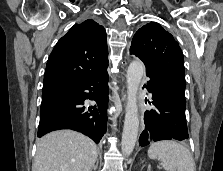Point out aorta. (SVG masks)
I'll return each instance as SVG.
<instances>
[{"label": "aorta", "instance_id": "1", "mask_svg": "<svg viewBox=\"0 0 223 171\" xmlns=\"http://www.w3.org/2000/svg\"><path fill=\"white\" fill-rule=\"evenodd\" d=\"M144 72L145 66L140 60L132 61L127 70V104L121 141L124 156H130L137 140L139 129L137 93Z\"/></svg>", "mask_w": 223, "mask_h": 171}]
</instances>
